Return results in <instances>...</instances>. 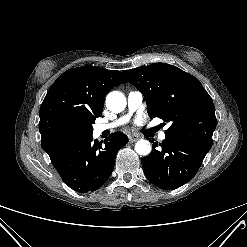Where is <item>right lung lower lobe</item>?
<instances>
[{
  "label": "right lung lower lobe",
  "mask_w": 247,
  "mask_h": 247,
  "mask_svg": "<svg viewBox=\"0 0 247 247\" xmlns=\"http://www.w3.org/2000/svg\"><path fill=\"white\" fill-rule=\"evenodd\" d=\"M128 143L122 133H113L104 141H93L92 134L79 137L50 158L62 180L78 192L99 189L113 171L119 149Z\"/></svg>",
  "instance_id": "1"
}]
</instances>
